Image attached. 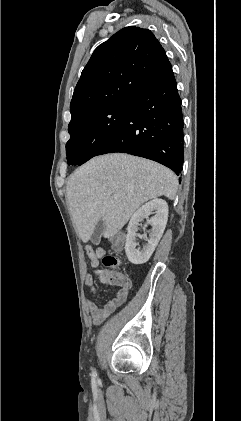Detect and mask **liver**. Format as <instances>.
<instances>
[{"label": "liver", "mask_w": 241, "mask_h": 421, "mask_svg": "<svg viewBox=\"0 0 241 421\" xmlns=\"http://www.w3.org/2000/svg\"><path fill=\"white\" fill-rule=\"evenodd\" d=\"M177 189V176L170 169L145 158L113 153L92 158L75 170L66 196L77 234L87 242L100 219L106 237H113L143 203L160 196L174 200Z\"/></svg>", "instance_id": "6515ba94"}]
</instances>
